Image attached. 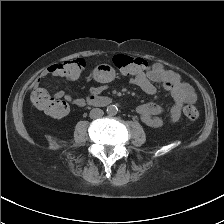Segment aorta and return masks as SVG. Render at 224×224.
Returning <instances> with one entry per match:
<instances>
[{
	"instance_id": "aorta-1",
	"label": "aorta",
	"mask_w": 224,
	"mask_h": 224,
	"mask_svg": "<svg viewBox=\"0 0 224 224\" xmlns=\"http://www.w3.org/2000/svg\"><path fill=\"white\" fill-rule=\"evenodd\" d=\"M107 114L110 116H114L118 113V107L116 105H109L107 107Z\"/></svg>"
}]
</instances>
